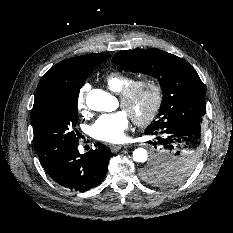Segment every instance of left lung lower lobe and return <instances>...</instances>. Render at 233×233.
<instances>
[{
  "label": "left lung lower lobe",
  "mask_w": 233,
  "mask_h": 233,
  "mask_svg": "<svg viewBox=\"0 0 233 233\" xmlns=\"http://www.w3.org/2000/svg\"><path fill=\"white\" fill-rule=\"evenodd\" d=\"M201 123L200 119L189 117L166 121L159 127H148L145 134L156 136V141L149 143L158 150L151 162L164 164L182 155L200 156L203 147ZM163 153L167 155L166 161L160 158Z\"/></svg>",
  "instance_id": "obj_1"
}]
</instances>
